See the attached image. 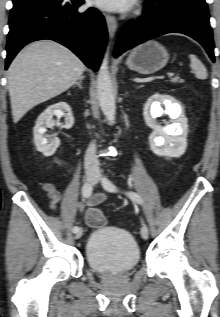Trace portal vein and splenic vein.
Here are the masks:
<instances>
[{
	"instance_id": "portal-vein-and-splenic-vein-1",
	"label": "portal vein and splenic vein",
	"mask_w": 220,
	"mask_h": 317,
	"mask_svg": "<svg viewBox=\"0 0 220 317\" xmlns=\"http://www.w3.org/2000/svg\"><path fill=\"white\" fill-rule=\"evenodd\" d=\"M168 76L172 78L174 76V73H168Z\"/></svg>"
}]
</instances>
